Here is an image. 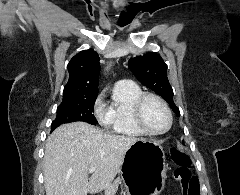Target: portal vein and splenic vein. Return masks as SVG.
<instances>
[{"label":"portal vein and splenic vein","instance_id":"obj_1","mask_svg":"<svg viewBox=\"0 0 240 195\" xmlns=\"http://www.w3.org/2000/svg\"><path fill=\"white\" fill-rule=\"evenodd\" d=\"M96 167H90L89 169V173H93V171H95Z\"/></svg>","mask_w":240,"mask_h":195}]
</instances>
